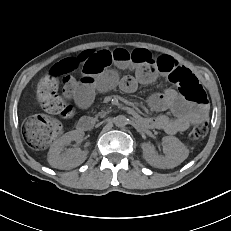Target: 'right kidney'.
Masks as SVG:
<instances>
[{"mask_svg":"<svg viewBox=\"0 0 231 231\" xmlns=\"http://www.w3.org/2000/svg\"><path fill=\"white\" fill-rule=\"evenodd\" d=\"M83 136V132L74 130L57 139L48 152L49 164L58 169H71L82 164L86 160L87 152L78 148L64 149V146L81 140Z\"/></svg>","mask_w":231,"mask_h":231,"instance_id":"1","label":"right kidney"}]
</instances>
